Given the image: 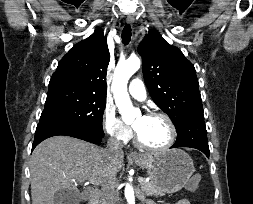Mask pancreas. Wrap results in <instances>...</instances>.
<instances>
[{"instance_id":"pancreas-1","label":"pancreas","mask_w":253,"mask_h":204,"mask_svg":"<svg viewBox=\"0 0 253 204\" xmlns=\"http://www.w3.org/2000/svg\"><path fill=\"white\" fill-rule=\"evenodd\" d=\"M141 189L143 193L147 196H158L164 195V193L152 182H143L141 183Z\"/></svg>"}]
</instances>
